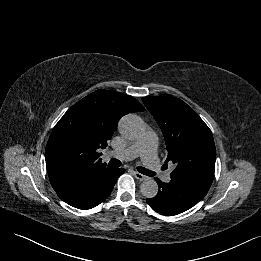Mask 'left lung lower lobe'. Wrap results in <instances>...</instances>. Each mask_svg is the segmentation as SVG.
<instances>
[{
    "label": "left lung lower lobe",
    "mask_w": 261,
    "mask_h": 261,
    "mask_svg": "<svg viewBox=\"0 0 261 261\" xmlns=\"http://www.w3.org/2000/svg\"><path fill=\"white\" fill-rule=\"evenodd\" d=\"M158 194L146 202L159 214L176 215L197 204L208 192L210 186L188 179H171L169 183L155 178Z\"/></svg>",
    "instance_id": "left-lung-lower-lobe-1"
}]
</instances>
